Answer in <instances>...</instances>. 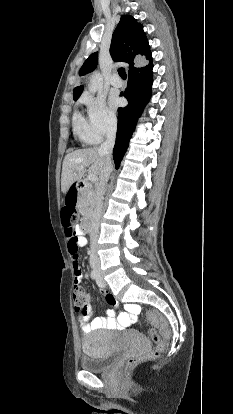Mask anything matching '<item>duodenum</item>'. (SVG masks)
<instances>
[{
	"label": "duodenum",
	"instance_id": "duodenum-1",
	"mask_svg": "<svg viewBox=\"0 0 233 414\" xmlns=\"http://www.w3.org/2000/svg\"><path fill=\"white\" fill-rule=\"evenodd\" d=\"M72 183L71 191H67L68 193L71 192V194L66 197V201H63V210L65 212H72L74 210V207L77 205L78 194L87 186L86 182L83 180H76ZM81 228L85 233H93L92 221L90 219H85L81 225Z\"/></svg>",
	"mask_w": 233,
	"mask_h": 414
}]
</instances>
